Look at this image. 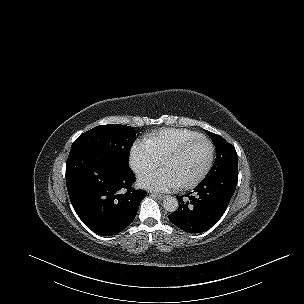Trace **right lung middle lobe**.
<instances>
[{
  "instance_id": "dd1d6c3e",
  "label": "right lung middle lobe",
  "mask_w": 304,
  "mask_h": 304,
  "mask_svg": "<svg viewBox=\"0 0 304 304\" xmlns=\"http://www.w3.org/2000/svg\"><path fill=\"white\" fill-rule=\"evenodd\" d=\"M136 130L130 126L107 124L81 134L72 144L73 149L90 148L111 154L116 168L129 167L130 149L136 139Z\"/></svg>"
}]
</instances>
